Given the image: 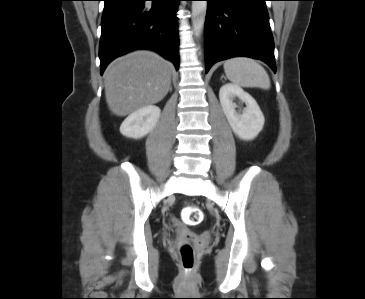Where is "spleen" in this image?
<instances>
[{
  "label": "spleen",
  "instance_id": "spleen-1",
  "mask_svg": "<svg viewBox=\"0 0 365 299\" xmlns=\"http://www.w3.org/2000/svg\"><path fill=\"white\" fill-rule=\"evenodd\" d=\"M224 71L226 77L237 86L270 88L267 72L253 59L246 57L229 59L224 63Z\"/></svg>",
  "mask_w": 365,
  "mask_h": 299
}]
</instances>
